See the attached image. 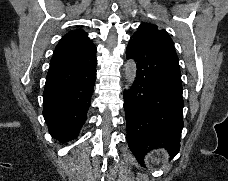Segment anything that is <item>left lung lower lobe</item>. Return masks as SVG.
Wrapping results in <instances>:
<instances>
[{
  "label": "left lung lower lobe",
  "mask_w": 228,
  "mask_h": 181,
  "mask_svg": "<svg viewBox=\"0 0 228 181\" xmlns=\"http://www.w3.org/2000/svg\"><path fill=\"white\" fill-rule=\"evenodd\" d=\"M127 58L137 62L136 80L124 92L127 141L143 164L154 148H165L171 157L180 149L183 128L182 81L176 53L131 38Z\"/></svg>",
  "instance_id": "1"
}]
</instances>
